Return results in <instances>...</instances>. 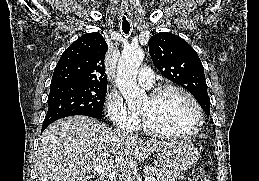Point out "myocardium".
<instances>
[{
  "mask_svg": "<svg viewBox=\"0 0 259 181\" xmlns=\"http://www.w3.org/2000/svg\"><path fill=\"white\" fill-rule=\"evenodd\" d=\"M169 91H177V92L183 94L192 103V105L194 106V108L196 110V113H197V124H196V126L192 130H190L188 132H182V133L163 131V130H160V129H157V128L153 127L150 124L147 117L144 114L139 113L141 124H142L145 132H147L150 135L157 136V137L175 138V139H186V138H190V137L195 136L196 134H198L201 131V129L203 127L204 113H203L201 105L199 104V102L193 96L192 93H190L187 89H185L182 86H179V85H176V84H165V85H162V86L154 89L149 94V98L152 101H156L162 95H164L165 93H167Z\"/></svg>",
  "mask_w": 259,
  "mask_h": 181,
  "instance_id": "1",
  "label": "myocardium"
}]
</instances>
